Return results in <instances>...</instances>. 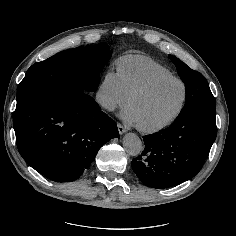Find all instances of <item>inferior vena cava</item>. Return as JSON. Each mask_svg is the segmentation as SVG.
I'll use <instances>...</instances> for the list:
<instances>
[{"label":"inferior vena cava","instance_id":"602c4592","mask_svg":"<svg viewBox=\"0 0 236 236\" xmlns=\"http://www.w3.org/2000/svg\"><path fill=\"white\" fill-rule=\"evenodd\" d=\"M97 102L102 106H106L109 103V96L103 91H99L96 95Z\"/></svg>","mask_w":236,"mask_h":236}]
</instances>
